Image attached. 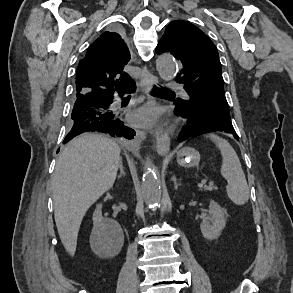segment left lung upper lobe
<instances>
[{
	"label": "left lung upper lobe",
	"instance_id": "obj_1",
	"mask_svg": "<svg viewBox=\"0 0 293 293\" xmlns=\"http://www.w3.org/2000/svg\"><path fill=\"white\" fill-rule=\"evenodd\" d=\"M156 52H170L181 63L176 81L183 85L189 98H177V102H194L195 112L204 118L224 116L230 119L218 51L204 32L189 22L172 21Z\"/></svg>",
	"mask_w": 293,
	"mask_h": 293
}]
</instances>
